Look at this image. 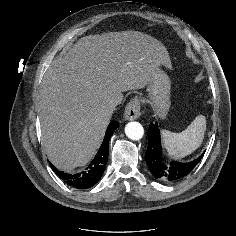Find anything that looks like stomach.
Segmentation results:
<instances>
[{
    "instance_id": "stomach-1",
    "label": "stomach",
    "mask_w": 236,
    "mask_h": 236,
    "mask_svg": "<svg viewBox=\"0 0 236 236\" xmlns=\"http://www.w3.org/2000/svg\"><path fill=\"white\" fill-rule=\"evenodd\" d=\"M170 89L169 77L161 70V67H158L149 81L147 91L149 102L155 114L161 119L166 117L170 108Z\"/></svg>"
}]
</instances>
